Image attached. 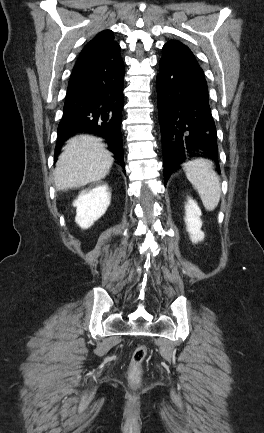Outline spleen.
Returning <instances> with one entry per match:
<instances>
[{
  "label": "spleen",
  "instance_id": "obj_1",
  "mask_svg": "<svg viewBox=\"0 0 264 433\" xmlns=\"http://www.w3.org/2000/svg\"><path fill=\"white\" fill-rule=\"evenodd\" d=\"M183 168L206 210L213 211L220 201L221 186L212 162L206 159H196L185 163Z\"/></svg>",
  "mask_w": 264,
  "mask_h": 433
}]
</instances>
